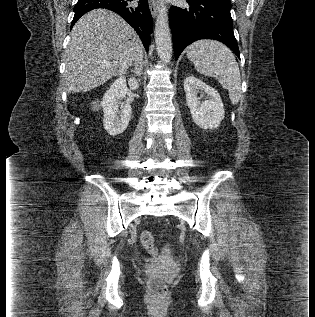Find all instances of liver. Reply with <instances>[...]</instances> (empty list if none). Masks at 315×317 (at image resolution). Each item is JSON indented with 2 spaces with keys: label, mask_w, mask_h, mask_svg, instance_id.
<instances>
[{
  "label": "liver",
  "mask_w": 315,
  "mask_h": 317,
  "mask_svg": "<svg viewBox=\"0 0 315 317\" xmlns=\"http://www.w3.org/2000/svg\"><path fill=\"white\" fill-rule=\"evenodd\" d=\"M143 46L119 15L96 9L74 25L65 50L64 80L68 93L87 92L113 76H122Z\"/></svg>",
  "instance_id": "obj_1"
}]
</instances>
